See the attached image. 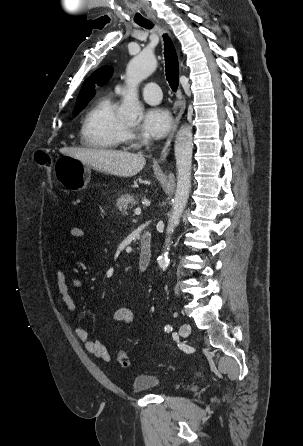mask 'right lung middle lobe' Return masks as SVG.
Returning <instances> with one entry per match:
<instances>
[{
	"label": "right lung middle lobe",
	"mask_w": 303,
	"mask_h": 446,
	"mask_svg": "<svg viewBox=\"0 0 303 446\" xmlns=\"http://www.w3.org/2000/svg\"><path fill=\"white\" fill-rule=\"evenodd\" d=\"M86 105L87 104L75 107L74 112H73L74 116H76Z\"/></svg>",
	"instance_id": "dd1d6c3e"
}]
</instances>
